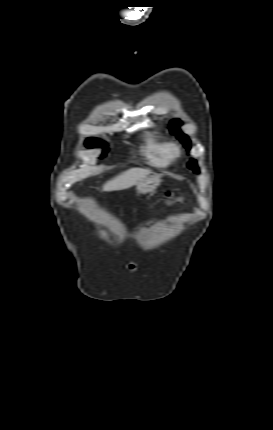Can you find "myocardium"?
Returning <instances> with one entry per match:
<instances>
[{
  "mask_svg": "<svg viewBox=\"0 0 273 430\" xmlns=\"http://www.w3.org/2000/svg\"><path fill=\"white\" fill-rule=\"evenodd\" d=\"M180 154V149L177 145H171V155L173 158L178 157Z\"/></svg>",
  "mask_w": 273,
  "mask_h": 430,
  "instance_id": "f54148a6",
  "label": "myocardium"
}]
</instances>
